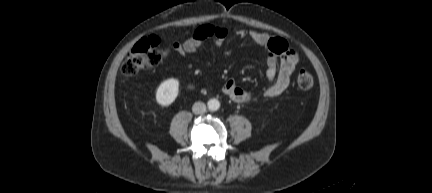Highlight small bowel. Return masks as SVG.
<instances>
[{"label": "small bowel", "instance_id": "small-bowel-1", "mask_svg": "<svg viewBox=\"0 0 432 193\" xmlns=\"http://www.w3.org/2000/svg\"><path fill=\"white\" fill-rule=\"evenodd\" d=\"M233 32L241 39L250 38L266 50V77L271 84L264 90L263 95L265 97L281 95L288 88L291 74L299 61L297 51L290 48L286 40L265 32L247 30L242 27L233 28ZM226 34L227 31L224 28L203 25L195 31L193 36L184 42H174L172 47L180 55L191 54L196 52L207 39H212L216 45H220ZM222 91L235 102L243 103L252 99V94L239 87L232 79L224 84Z\"/></svg>", "mask_w": 432, "mask_h": 193}]
</instances>
